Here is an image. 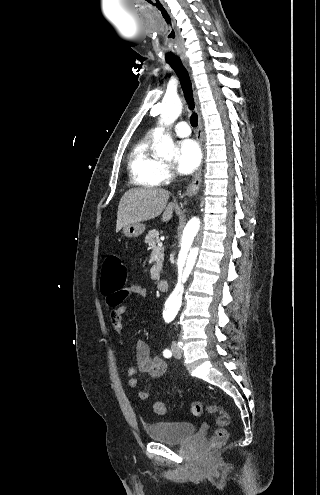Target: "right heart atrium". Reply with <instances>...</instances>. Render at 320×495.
Here are the masks:
<instances>
[{"label":"right heart atrium","instance_id":"d8ad5b80","mask_svg":"<svg viewBox=\"0 0 320 495\" xmlns=\"http://www.w3.org/2000/svg\"><path fill=\"white\" fill-rule=\"evenodd\" d=\"M173 177L172 169L167 164H162L159 172H158V181L160 183H166L170 181Z\"/></svg>","mask_w":320,"mask_h":495}]
</instances>
